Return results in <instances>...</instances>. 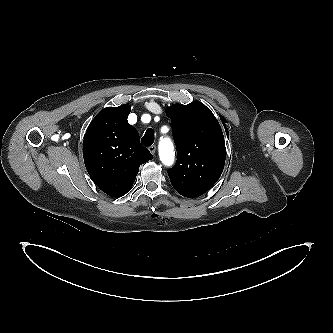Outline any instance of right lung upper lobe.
<instances>
[{"mask_svg": "<svg viewBox=\"0 0 333 333\" xmlns=\"http://www.w3.org/2000/svg\"><path fill=\"white\" fill-rule=\"evenodd\" d=\"M130 110L128 104L103 109L88 126L83 141V157L90 177L112 197L125 195L140 165L153 158L127 121Z\"/></svg>", "mask_w": 333, "mask_h": 333, "instance_id": "right-lung-upper-lobe-1", "label": "right lung upper lobe"}]
</instances>
